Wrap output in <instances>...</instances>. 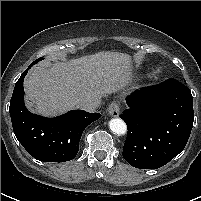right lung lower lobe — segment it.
<instances>
[{
    "label": "right lung lower lobe",
    "mask_w": 201,
    "mask_h": 201,
    "mask_svg": "<svg viewBox=\"0 0 201 201\" xmlns=\"http://www.w3.org/2000/svg\"><path fill=\"white\" fill-rule=\"evenodd\" d=\"M32 63L16 82L9 112L13 131L27 152L43 162H66L75 158L84 129L101 117L100 113L72 110L55 118L30 113L24 105L23 81Z\"/></svg>",
    "instance_id": "98d812e1"
}]
</instances>
